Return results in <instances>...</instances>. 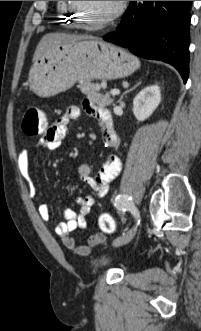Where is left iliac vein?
<instances>
[{"mask_svg": "<svg viewBox=\"0 0 201 331\" xmlns=\"http://www.w3.org/2000/svg\"><path fill=\"white\" fill-rule=\"evenodd\" d=\"M136 232H137V227H133L132 229H130L129 231H127L123 235L117 237L113 241V246L119 247V246H122V245H125V244L129 243L134 238Z\"/></svg>", "mask_w": 201, "mask_h": 331, "instance_id": "left-iliac-vein-1", "label": "left iliac vein"}]
</instances>
